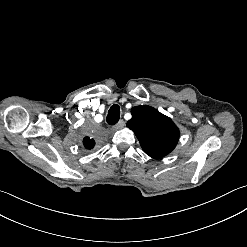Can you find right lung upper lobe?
Instances as JSON below:
<instances>
[{"mask_svg":"<svg viewBox=\"0 0 247 247\" xmlns=\"http://www.w3.org/2000/svg\"><path fill=\"white\" fill-rule=\"evenodd\" d=\"M83 145L87 148V149H92L95 145V141L93 138L90 137H84L83 139Z\"/></svg>","mask_w":247,"mask_h":247,"instance_id":"obj_1","label":"right lung upper lobe"}]
</instances>
